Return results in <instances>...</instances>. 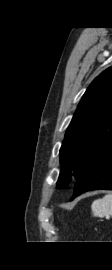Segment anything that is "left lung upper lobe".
I'll list each match as a JSON object with an SVG mask.
<instances>
[{"label": "left lung upper lobe", "mask_w": 112, "mask_h": 270, "mask_svg": "<svg viewBox=\"0 0 112 270\" xmlns=\"http://www.w3.org/2000/svg\"><path fill=\"white\" fill-rule=\"evenodd\" d=\"M112 148V66L87 88L60 149L57 188L77 180Z\"/></svg>", "instance_id": "left-lung-upper-lobe-1"}]
</instances>
